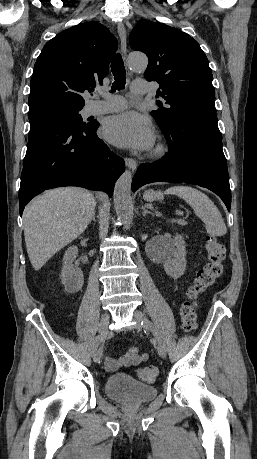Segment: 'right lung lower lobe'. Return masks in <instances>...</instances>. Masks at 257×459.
I'll return each instance as SVG.
<instances>
[{
	"mask_svg": "<svg viewBox=\"0 0 257 459\" xmlns=\"http://www.w3.org/2000/svg\"><path fill=\"white\" fill-rule=\"evenodd\" d=\"M98 127L97 121L79 127L52 119L30 120L19 190L20 215L34 196L60 186L104 191L111 197L125 163L98 138Z\"/></svg>",
	"mask_w": 257,
	"mask_h": 459,
	"instance_id": "right-lung-lower-lobe-1",
	"label": "right lung lower lobe"
}]
</instances>
